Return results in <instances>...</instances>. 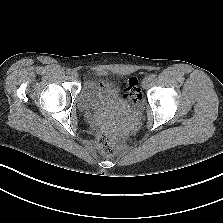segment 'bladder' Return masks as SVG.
I'll use <instances>...</instances> for the list:
<instances>
[{"label": "bladder", "instance_id": "31cf9c89", "mask_svg": "<svg viewBox=\"0 0 223 223\" xmlns=\"http://www.w3.org/2000/svg\"><path fill=\"white\" fill-rule=\"evenodd\" d=\"M78 105L85 110L98 108L107 104L120 107L126 106L127 101L122 98L113 84L97 78H88L77 99Z\"/></svg>", "mask_w": 223, "mask_h": 223}]
</instances>
